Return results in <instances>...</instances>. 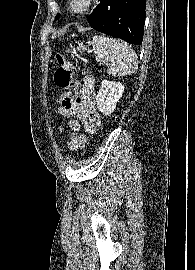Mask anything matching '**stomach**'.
<instances>
[{
	"label": "stomach",
	"instance_id": "1",
	"mask_svg": "<svg viewBox=\"0 0 195 270\" xmlns=\"http://www.w3.org/2000/svg\"><path fill=\"white\" fill-rule=\"evenodd\" d=\"M78 50L80 52L86 51L87 50V46H85L83 43H79Z\"/></svg>",
	"mask_w": 195,
	"mask_h": 270
}]
</instances>
